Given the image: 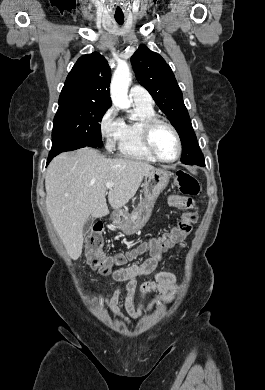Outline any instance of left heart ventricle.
<instances>
[{
  "instance_id": "1",
  "label": "left heart ventricle",
  "mask_w": 265,
  "mask_h": 390,
  "mask_svg": "<svg viewBox=\"0 0 265 390\" xmlns=\"http://www.w3.org/2000/svg\"><path fill=\"white\" fill-rule=\"evenodd\" d=\"M152 142L158 154L167 160L177 153V143L171 130L164 125L157 126L152 134Z\"/></svg>"
}]
</instances>
